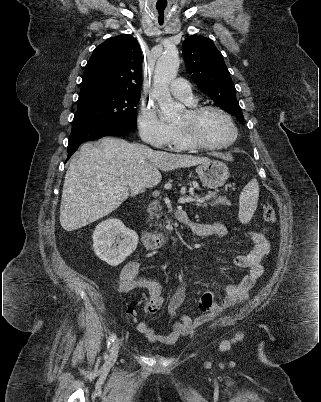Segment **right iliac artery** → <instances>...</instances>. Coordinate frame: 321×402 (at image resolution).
Here are the masks:
<instances>
[{"mask_svg":"<svg viewBox=\"0 0 321 402\" xmlns=\"http://www.w3.org/2000/svg\"><path fill=\"white\" fill-rule=\"evenodd\" d=\"M116 339V335L115 334H111L107 340V345L109 346L112 342H114Z\"/></svg>","mask_w":321,"mask_h":402,"instance_id":"82829eb1","label":"right iliac artery"}]
</instances>
